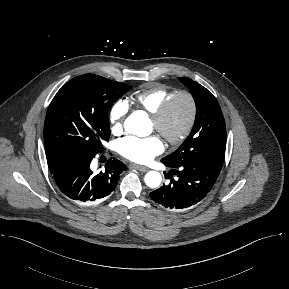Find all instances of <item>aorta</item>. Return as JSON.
<instances>
[{
  "instance_id": "1",
  "label": "aorta",
  "mask_w": 289,
  "mask_h": 289,
  "mask_svg": "<svg viewBox=\"0 0 289 289\" xmlns=\"http://www.w3.org/2000/svg\"><path fill=\"white\" fill-rule=\"evenodd\" d=\"M147 117L143 111L133 112L125 121V127L130 132H136L141 130V128L146 124ZM145 183L150 188H157L162 181L161 174L157 171H149L145 175Z\"/></svg>"
}]
</instances>
